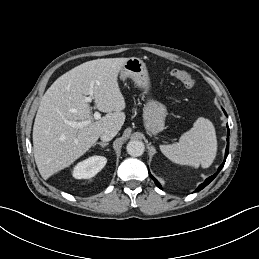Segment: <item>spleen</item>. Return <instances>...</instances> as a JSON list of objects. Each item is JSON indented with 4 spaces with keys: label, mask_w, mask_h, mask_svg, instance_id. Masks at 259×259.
<instances>
[{
    "label": "spleen",
    "mask_w": 259,
    "mask_h": 259,
    "mask_svg": "<svg viewBox=\"0 0 259 259\" xmlns=\"http://www.w3.org/2000/svg\"><path fill=\"white\" fill-rule=\"evenodd\" d=\"M160 149L174 163L208 168L217 153L214 126L208 119L200 117L189 131L181 135L178 143L161 145Z\"/></svg>",
    "instance_id": "3e777b00"
}]
</instances>
